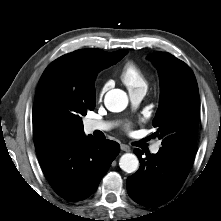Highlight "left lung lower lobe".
<instances>
[{
  "label": "left lung lower lobe",
  "instance_id": "1",
  "mask_svg": "<svg viewBox=\"0 0 221 221\" xmlns=\"http://www.w3.org/2000/svg\"><path fill=\"white\" fill-rule=\"evenodd\" d=\"M140 161L139 170L128 177L127 191L137 203L158 207L171 200L180 190L193 164L194 156L182 149L162 146L157 154L135 149Z\"/></svg>",
  "mask_w": 221,
  "mask_h": 221
}]
</instances>
